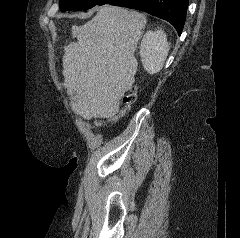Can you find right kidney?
Wrapping results in <instances>:
<instances>
[{
	"label": "right kidney",
	"instance_id": "1",
	"mask_svg": "<svg viewBox=\"0 0 240 238\" xmlns=\"http://www.w3.org/2000/svg\"><path fill=\"white\" fill-rule=\"evenodd\" d=\"M169 44L163 30L147 31L141 41L140 57L149 74L158 73L166 60Z\"/></svg>",
	"mask_w": 240,
	"mask_h": 238
}]
</instances>
